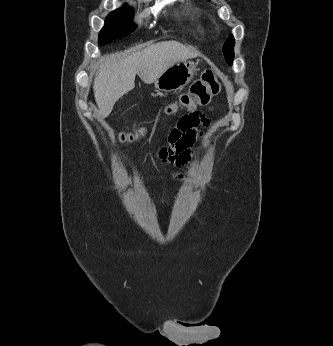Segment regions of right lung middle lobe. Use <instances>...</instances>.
Returning <instances> with one entry per match:
<instances>
[{"mask_svg": "<svg viewBox=\"0 0 333 346\" xmlns=\"http://www.w3.org/2000/svg\"><path fill=\"white\" fill-rule=\"evenodd\" d=\"M133 11L124 6L111 12L106 20L105 26L99 34L98 43L104 45L114 39L127 36L135 30L136 25L132 24Z\"/></svg>", "mask_w": 333, "mask_h": 346, "instance_id": "1", "label": "right lung middle lobe"}]
</instances>
